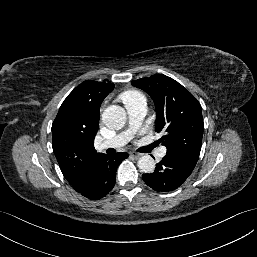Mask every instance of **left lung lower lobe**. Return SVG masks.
Instances as JSON below:
<instances>
[{"label": "left lung lower lobe", "instance_id": "left-lung-lower-lobe-1", "mask_svg": "<svg viewBox=\"0 0 257 257\" xmlns=\"http://www.w3.org/2000/svg\"><path fill=\"white\" fill-rule=\"evenodd\" d=\"M194 166L183 160L166 155L156 164L155 171L143 174L144 182L158 192L173 191L180 187L192 173Z\"/></svg>", "mask_w": 257, "mask_h": 257}]
</instances>
